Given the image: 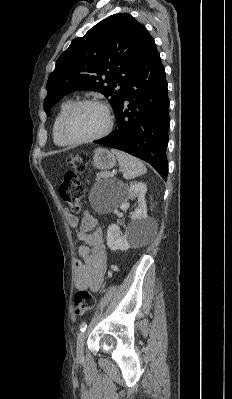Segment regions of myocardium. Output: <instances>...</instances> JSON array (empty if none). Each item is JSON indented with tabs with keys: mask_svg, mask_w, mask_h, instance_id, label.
I'll list each match as a JSON object with an SVG mask.
<instances>
[{
	"mask_svg": "<svg viewBox=\"0 0 232 399\" xmlns=\"http://www.w3.org/2000/svg\"><path fill=\"white\" fill-rule=\"evenodd\" d=\"M82 105H99L102 108H104V110L107 113L108 123H107L106 128L98 135H95V136H92L89 138L80 139V138L74 137L70 133V131L68 129V120H69L70 115L73 113V111L77 107L82 106ZM113 127H114V114H113L111 107L108 104H106L105 102L96 100V99H83V100L73 102L68 107V109L65 111L62 121H61V129H62L64 136L73 144H85V143H92V142L100 141V140L104 139L105 137H107L112 132Z\"/></svg>",
	"mask_w": 232,
	"mask_h": 399,
	"instance_id": "1",
	"label": "myocardium"
}]
</instances>
